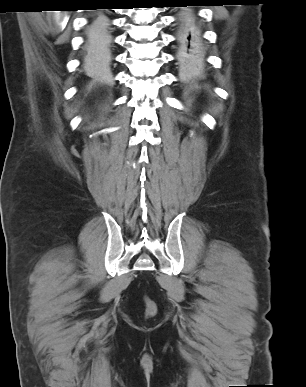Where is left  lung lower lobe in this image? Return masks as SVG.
Segmentation results:
<instances>
[{"label": "left lung lower lobe", "mask_w": 306, "mask_h": 387, "mask_svg": "<svg viewBox=\"0 0 306 387\" xmlns=\"http://www.w3.org/2000/svg\"><path fill=\"white\" fill-rule=\"evenodd\" d=\"M198 1L192 0L186 3L184 0H177L175 4L187 6L200 5ZM179 46L178 58L183 64H194L202 56V39L195 24V17L190 10H183L180 13L179 29L177 35Z\"/></svg>", "instance_id": "obj_1"}]
</instances>
